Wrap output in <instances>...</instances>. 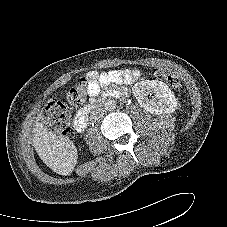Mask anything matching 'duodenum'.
Returning a JSON list of instances; mask_svg holds the SVG:
<instances>
[{
    "label": "duodenum",
    "mask_w": 227,
    "mask_h": 227,
    "mask_svg": "<svg viewBox=\"0 0 227 227\" xmlns=\"http://www.w3.org/2000/svg\"><path fill=\"white\" fill-rule=\"evenodd\" d=\"M95 107H87L81 110L74 119V127L77 131L82 132L86 129L88 124V117Z\"/></svg>",
    "instance_id": "1"
}]
</instances>
